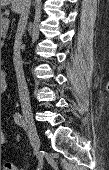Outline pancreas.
Listing matches in <instances>:
<instances>
[{
  "label": "pancreas",
  "mask_w": 109,
  "mask_h": 170,
  "mask_svg": "<svg viewBox=\"0 0 109 170\" xmlns=\"http://www.w3.org/2000/svg\"><path fill=\"white\" fill-rule=\"evenodd\" d=\"M3 16V14H1V17ZM2 19V18H1ZM1 36H2V39L4 40L5 36H6V29H3L2 30V33H1Z\"/></svg>",
  "instance_id": "1"
}]
</instances>
